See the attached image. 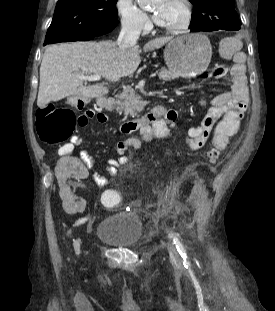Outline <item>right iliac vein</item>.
<instances>
[{"label":"right iliac vein","mask_w":275,"mask_h":311,"mask_svg":"<svg viewBox=\"0 0 275 311\" xmlns=\"http://www.w3.org/2000/svg\"><path fill=\"white\" fill-rule=\"evenodd\" d=\"M74 248H75V251L78 253V252H79V248H80L79 240H76V241H75V243H74Z\"/></svg>","instance_id":"63e3f726"}]
</instances>
